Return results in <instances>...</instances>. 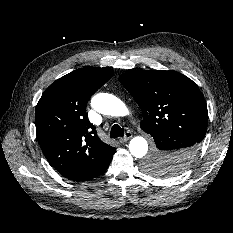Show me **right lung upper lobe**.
<instances>
[{"mask_svg":"<svg viewBox=\"0 0 233 233\" xmlns=\"http://www.w3.org/2000/svg\"><path fill=\"white\" fill-rule=\"evenodd\" d=\"M113 74L86 66L52 83L36 107V134L50 165L68 178L76 171L99 170L116 148L102 142L86 114L90 97Z\"/></svg>","mask_w":233,"mask_h":233,"instance_id":"cb5924a9","label":"right lung upper lobe"}]
</instances>
